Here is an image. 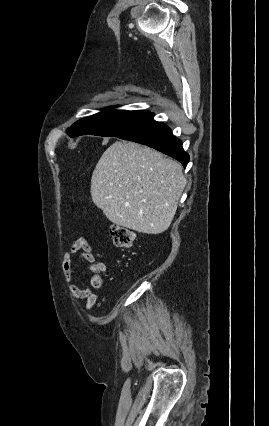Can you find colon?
Instances as JSON below:
<instances>
[{"label": "colon", "mask_w": 269, "mask_h": 426, "mask_svg": "<svg viewBox=\"0 0 269 426\" xmlns=\"http://www.w3.org/2000/svg\"><path fill=\"white\" fill-rule=\"evenodd\" d=\"M110 236L113 244L118 248L129 250L136 245L137 238L135 232L126 227L120 225L112 226ZM100 272L102 271L94 272L92 284L95 286H99L102 283Z\"/></svg>", "instance_id": "5ec220e1"}]
</instances>
